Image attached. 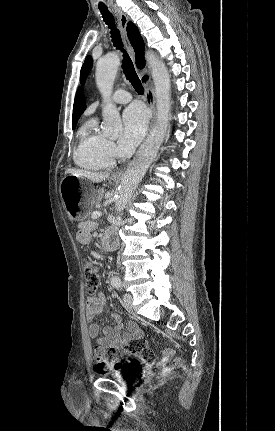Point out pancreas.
I'll list each match as a JSON object with an SVG mask.
<instances>
[{
	"label": "pancreas",
	"mask_w": 275,
	"mask_h": 431,
	"mask_svg": "<svg viewBox=\"0 0 275 431\" xmlns=\"http://www.w3.org/2000/svg\"><path fill=\"white\" fill-rule=\"evenodd\" d=\"M103 194H104V190L103 189L98 190V196H97V198L95 200V205H98L101 202Z\"/></svg>",
	"instance_id": "1"
}]
</instances>
